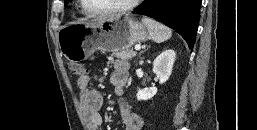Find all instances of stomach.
<instances>
[{
	"instance_id": "obj_1",
	"label": "stomach",
	"mask_w": 257,
	"mask_h": 130,
	"mask_svg": "<svg viewBox=\"0 0 257 130\" xmlns=\"http://www.w3.org/2000/svg\"><path fill=\"white\" fill-rule=\"evenodd\" d=\"M149 38L147 27L129 15H115L95 23L72 22L58 32L59 48L69 61L79 62L95 51L117 52Z\"/></svg>"
}]
</instances>
